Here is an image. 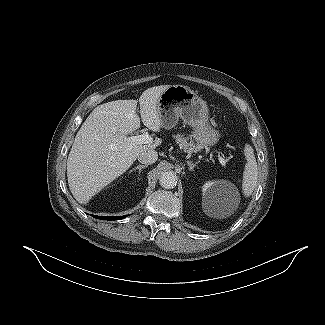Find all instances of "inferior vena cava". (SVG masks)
Wrapping results in <instances>:
<instances>
[{"instance_id": "obj_1", "label": "inferior vena cava", "mask_w": 325, "mask_h": 325, "mask_svg": "<svg viewBox=\"0 0 325 325\" xmlns=\"http://www.w3.org/2000/svg\"><path fill=\"white\" fill-rule=\"evenodd\" d=\"M157 159L158 153L155 150H143L138 156V161L146 165L155 163Z\"/></svg>"}]
</instances>
